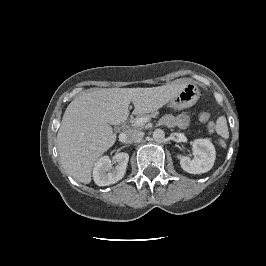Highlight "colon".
Wrapping results in <instances>:
<instances>
[{"mask_svg": "<svg viewBox=\"0 0 266 266\" xmlns=\"http://www.w3.org/2000/svg\"><path fill=\"white\" fill-rule=\"evenodd\" d=\"M199 118L202 122H208L210 115L207 112H202V113H200ZM207 128L210 132L214 131V129H215L214 123L209 122L207 125Z\"/></svg>", "mask_w": 266, "mask_h": 266, "instance_id": "obj_1", "label": "colon"}]
</instances>
